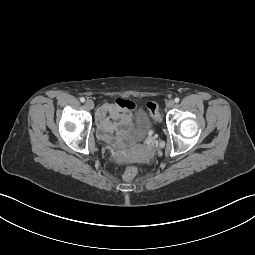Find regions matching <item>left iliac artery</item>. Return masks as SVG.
<instances>
[{"instance_id": "obj_1", "label": "left iliac artery", "mask_w": 255, "mask_h": 255, "mask_svg": "<svg viewBox=\"0 0 255 255\" xmlns=\"http://www.w3.org/2000/svg\"><path fill=\"white\" fill-rule=\"evenodd\" d=\"M174 101H175L176 103H178V102L180 101V99L177 97V98L174 99Z\"/></svg>"}]
</instances>
